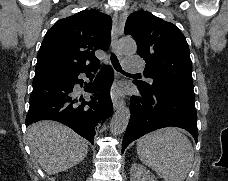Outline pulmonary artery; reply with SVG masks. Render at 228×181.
Segmentation results:
<instances>
[{"label": "pulmonary artery", "mask_w": 228, "mask_h": 181, "mask_svg": "<svg viewBox=\"0 0 228 181\" xmlns=\"http://www.w3.org/2000/svg\"><path fill=\"white\" fill-rule=\"evenodd\" d=\"M136 62H142V57H124L122 67L124 71H141V66H136Z\"/></svg>", "instance_id": "pulmonary-artery-1"}]
</instances>
